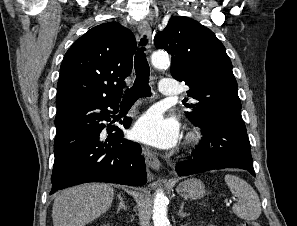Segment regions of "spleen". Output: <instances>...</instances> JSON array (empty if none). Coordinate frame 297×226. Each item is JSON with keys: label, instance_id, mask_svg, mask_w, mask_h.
Returning a JSON list of instances; mask_svg holds the SVG:
<instances>
[{"label": "spleen", "instance_id": "obj_1", "mask_svg": "<svg viewBox=\"0 0 297 226\" xmlns=\"http://www.w3.org/2000/svg\"><path fill=\"white\" fill-rule=\"evenodd\" d=\"M224 179L231 193L238 198L232 207L233 212L247 221L258 219L261 214V203L252 186L235 175L227 174Z\"/></svg>", "mask_w": 297, "mask_h": 226}]
</instances>
